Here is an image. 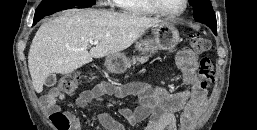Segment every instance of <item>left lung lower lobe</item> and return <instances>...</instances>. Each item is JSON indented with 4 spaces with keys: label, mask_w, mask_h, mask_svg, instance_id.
<instances>
[{
    "label": "left lung lower lobe",
    "mask_w": 257,
    "mask_h": 130,
    "mask_svg": "<svg viewBox=\"0 0 257 130\" xmlns=\"http://www.w3.org/2000/svg\"><path fill=\"white\" fill-rule=\"evenodd\" d=\"M213 32L216 34V29H215V30H213Z\"/></svg>",
    "instance_id": "left-lung-lower-lobe-1"
}]
</instances>
